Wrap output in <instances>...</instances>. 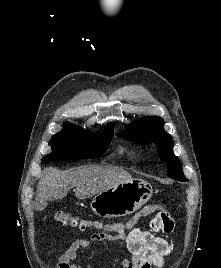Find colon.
<instances>
[{
    "instance_id": "colon-1",
    "label": "colon",
    "mask_w": 221,
    "mask_h": 268,
    "mask_svg": "<svg viewBox=\"0 0 221 268\" xmlns=\"http://www.w3.org/2000/svg\"><path fill=\"white\" fill-rule=\"evenodd\" d=\"M153 214H167L166 212V202L160 204L147 205L138 212H136L132 217L124 222L104 224L97 220H90L86 218H80L71 214L70 212L59 210L55 213L54 219L56 222L62 225H71L77 227L80 230H86L88 228L96 229H110L115 231H129L136 227V225L143 219L153 215Z\"/></svg>"
}]
</instances>
